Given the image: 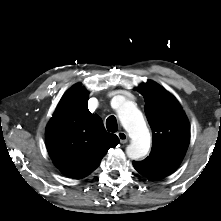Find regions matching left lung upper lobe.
Here are the masks:
<instances>
[{"instance_id": "1", "label": "left lung upper lobe", "mask_w": 221, "mask_h": 221, "mask_svg": "<svg viewBox=\"0 0 221 221\" xmlns=\"http://www.w3.org/2000/svg\"><path fill=\"white\" fill-rule=\"evenodd\" d=\"M135 89L144 96L153 136L150 155L133 165L143 176L158 180L182 162L189 145V122L175 97L159 84L149 80Z\"/></svg>"}]
</instances>
